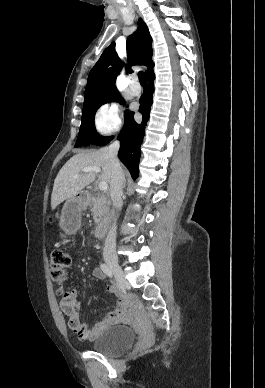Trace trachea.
Segmentation results:
<instances>
[{
  "instance_id": "trachea-1",
  "label": "trachea",
  "mask_w": 265,
  "mask_h": 388,
  "mask_svg": "<svg viewBox=\"0 0 265 388\" xmlns=\"http://www.w3.org/2000/svg\"><path fill=\"white\" fill-rule=\"evenodd\" d=\"M138 77H139V81H140L141 85L147 84V77H146V74L144 72H139Z\"/></svg>"
}]
</instances>
